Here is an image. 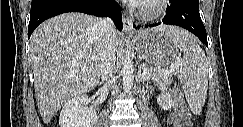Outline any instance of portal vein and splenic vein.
I'll list each match as a JSON object with an SVG mask.
<instances>
[{"label":"portal vein and splenic vein","instance_id":"18ae733b","mask_svg":"<svg viewBox=\"0 0 243 127\" xmlns=\"http://www.w3.org/2000/svg\"><path fill=\"white\" fill-rule=\"evenodd\" d=\"M170 72L171 71H169V70H163V71H161V73L163 74V75H165V76H170ZM149 73V70L146 68V67H144V70H143V74H148Z\"/></svg>","mask_w":243,"mask_h":127}]
</instances>
